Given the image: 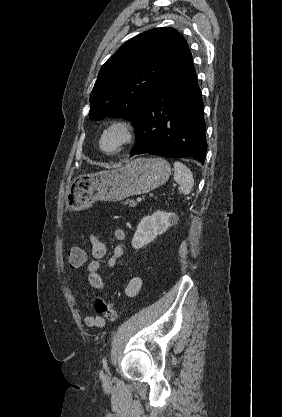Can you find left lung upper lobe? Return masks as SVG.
Returning <instances> with one entry per match:
<instances>
[{"mask_svg":"<svg viewBox=\"0 0 282 417\" xmlns=\"http://www.w3.org/2000/svg\"><path fill=\"white\" fill-rule=\"evenodd\" d=\"M188 49L173 28L145 31L123 44L102 66L90 95V119L133 122L171 66Z\"/></svg>","mask_w":282,"mask_h":417,"instance_id":"left-lung-upper-lobe-1","label":"left lung upper lobe"}]
</instances>
